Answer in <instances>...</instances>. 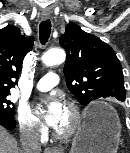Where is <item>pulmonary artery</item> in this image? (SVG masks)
<instances>
[{"instance_id":"e3ab8cb5","label":"pulmonary artery","mask_w":130,"mask_h":153,"mask_svg":"<svg viewBox=\"0 0 130 153\" xmlns=\"http://www.w3.org/2000/svg\"><path fill=\"white\" fill-rule=\"evenodd\" d=\"M59 82V76L56 73L49 72L44 77H42L36 84V89L38 91H48Z\"/></svg>"}]
</instances>
